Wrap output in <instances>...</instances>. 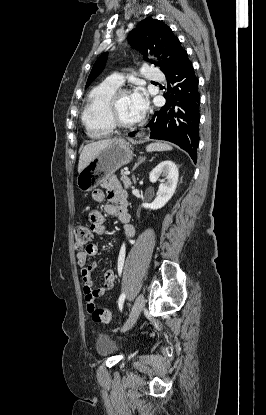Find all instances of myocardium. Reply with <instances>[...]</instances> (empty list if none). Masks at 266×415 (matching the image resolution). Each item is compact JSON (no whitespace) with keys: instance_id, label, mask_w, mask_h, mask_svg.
I'll return each mask as SVG.
<instances>
[{"instance_id":"myocardium-1","label":"myocardium","mask_w":266,"mask_h":415,"mask_svg":"<svg viewBox=\"0 0 266 415\" xmlns=\"http://www.w3.org/2000/svg\"><path fill=\"white\" fill-rule=\"evenodd\" d=\"M125 94H129V90L122 88V89H117L111 96L109 103H108L109 119L112 125L114 126V128L121 129V130H133L143 124L144 116H141V118L134 123H125L119 118L117 114V101L121 96Z\"/></svg>"}]
</instances>
